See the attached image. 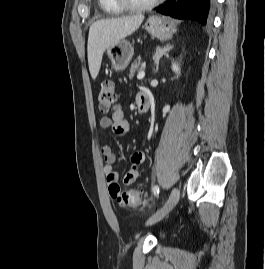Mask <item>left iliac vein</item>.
I'll use <instances>...</instances> for the list:
<instances>
[{
	"instance_id": "left-iliac-vein-1",
	"label": "left iliac vein",
	"mask_w": 265,
	"mask_h": 269,
	"mask_svg": "<svg viewBox=\"0 0 265 269\" xmlns=\"http://www.w3.org/2000/svg\"><path fill=\"white\" fill-rule=\"evenodd\" d=\"M180 197L179 190L175 187L172 189L171 194L162 206V208L147 222L148 225H152L160 220H162L178 203Z\"/></svg>"
}]
</instances>
